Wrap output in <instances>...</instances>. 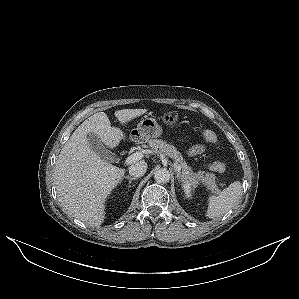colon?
Here are the masks:
<instances>
[{"instance_id":"obj_1","label":"colon","mask_w":299,"mask_h":299,"mask_svg":"<svg viewBox=\"0 0 299 299\" xmlns=\"http://www.w3.org/2000/svg\"><path fill=\"white\" fill-rule=\"evenodd\" d=\"M202 136L206 141L210 143L216 144L219 142L217 134L212 130H204L202 132ZM210 168L215 172H223L226 169V165L223 162H215L210 166Z\"/></svg>"}]
</instances>
